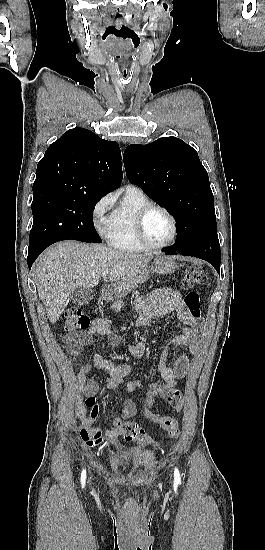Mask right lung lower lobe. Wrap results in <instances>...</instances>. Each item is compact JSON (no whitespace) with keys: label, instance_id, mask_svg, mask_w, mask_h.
Returning <instances> with one entry per match:
<instances>
[{"label":"right lung lower lobe","instance_id":"obj_1","mask_svg":"<svg viewBox=\"0 0 265 550\" xmlns=\"http://www.w3.org/2000/svg\"><path fill=\"white\" fill-rule=\"evenodd\" d=\"M42 251H43V250L37 251V252H35V253H30V254H28L27 260H28V267H29V269L31 268L33 262L35 261V259L39 256V254H40Z\"/></svg>","mask_w":265,"mask_h":550}]
</instances>
